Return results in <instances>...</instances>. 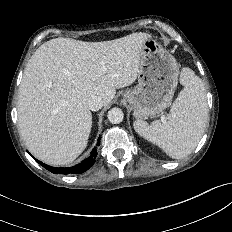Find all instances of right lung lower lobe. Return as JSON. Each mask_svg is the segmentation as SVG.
I'll use <instances>...</instances> for the list:
<instances>
[{
	"label": "right lung lower lobe",
	"instance_id": "98d812e1",
	"mask_svg": "<svg viewBox=\"0 0 232 232\" xmlns=\"http://www.w3.org/2000/svg\"><path fill=\"white\" fill-rule=\"evenodd\" d=\"M100 144V137L98 139V143L97 145ZM97 156V151H96V147L92 150L91 155L85 159L83 162H81L80 164L74 166V167H70V168H57V167H52L49 165H46L44 163H42L41 161L36 160L40 165H42L45 169L49 170L50 172L54 173V174H79V173H83L86 170H88L91 166H93L94 162H95V158Z\"/></svg>",
	"mask_w": 232,
	"mask_h": 232
}]
</instances>
